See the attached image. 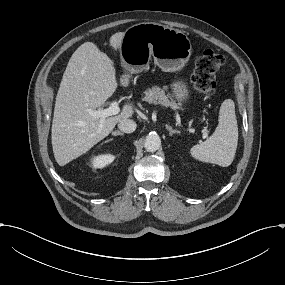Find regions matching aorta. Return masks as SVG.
I'll use <instances>...</instances> for the list:
<instances>
[{
    "mask_svg": "<svg viewBox=\"0 0 285 285\" xmlns=\"http://www.w3.org/2000/svg\"><path fill=\"white\" fill-rule=\"evenodd\" d=\"M161 145V139L156 133H149L146 136L144 147L148 152H155Z\"/></svg>",
    "mask_w": 285,
    "mask_h": 285,
    "instance_id": "1",
    "label": "aorta"
}]
</instances>
